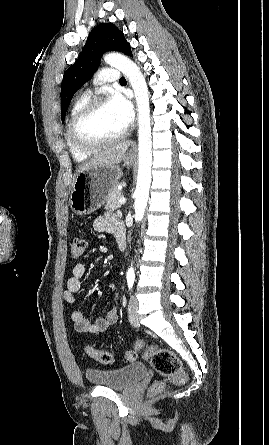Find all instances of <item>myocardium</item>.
I'll list each match as a JSON object with an SVG mask.
<instances>
[{"label":"myocardium","mask_w":269,"mask_h":445,"mask_svg":"<svg viewBox=\"0 0 269 445\" xmlns=\"http://www.w3.org/2000/svg\"><path fill=\"white\" fill-rule=\"evenodd\" d=\"M105 103H107V100L101 97L90 99L75 113L71 119L68 131L69 139L73 146L78 150L89 153L96 152L107 145L120 141L127 135L128 128H125L123 131L113 137L95 141L86 140L80 135L79 130L82 123Z\"/></svg>","instance_id":"myocardium-1"}]
</instances>
